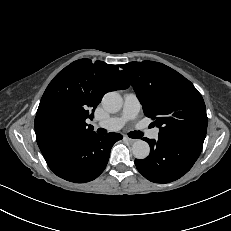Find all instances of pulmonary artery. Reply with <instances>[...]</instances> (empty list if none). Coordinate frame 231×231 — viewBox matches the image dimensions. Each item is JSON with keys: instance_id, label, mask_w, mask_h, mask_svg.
Here are the masks:
<instances>
[{"instance_id": "e3ab8cb5", "label": "pulmonary artery", "mask_w": 231, "mask_h": 231, "mask_svg": "<svg viewBox=\"0 0 231 231\" xmlns=\"http://www.w3.org/2000/svg\"><path fill=\"white\" fill-rule=\"evenodd\" d=\"M141 109V104L138 100V97L135 93H126L124 95V102L122 111L119 116L111 117L105 121H101L97 123V126L106 128L108 130H118L123 125L129 121L133 120L137 117ZM159 135V129L153 128L149 130L148 137L152 139H156Z\"/></svg>"}]
</instances>
